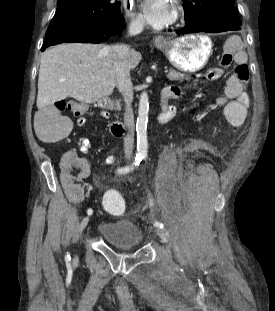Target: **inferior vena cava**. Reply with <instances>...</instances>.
Here are the masks:
<instances>
[{
	"label": "inferior vena cava",
	"mask_w": 275,
	"mask_h": 311,
	"mask_svg": "<svg viewBox=\"0 0 275 311\" xmlns=\"http://www.w3.org/2000/svg\"><path fill=\"white\" fill-rule=\"evenodd\" d=\"M143 30L142 21H132L128 28L129 35H137ZM131 49L129 46L120 44L111 47V55L116 67L117 89L122 94L125 101L124 123L128 133L124 138V153L126 158H130L134 143V115L132 109L133 86L130 78V66L128 58Z\"/></svg>",
	"instance_id": "obj_1"
}]
</instances>
